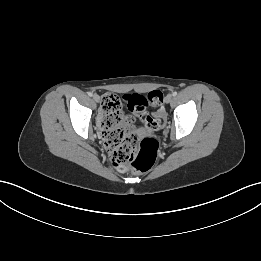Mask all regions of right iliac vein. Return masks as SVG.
Segmentation results:
<instances>
[{"instance_id":"63e3f726","label":"right iliac vein","mask_w":261,"mask_h":261,"mask_svg":"<svg viewBox=\"0 0 261 261\" xmlns=\"http://www.w3.org/2000/svg\"><path fill=\"white\" fill-rule=\"evenodd\" d=\"M93 100L95 101V102H100V96L99 95H97V94H94L93 95Z\"/></svg>"}]
</instances>
